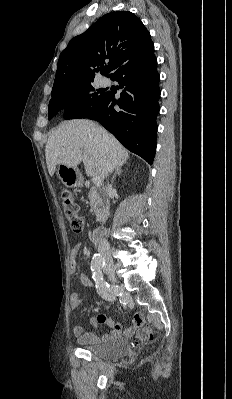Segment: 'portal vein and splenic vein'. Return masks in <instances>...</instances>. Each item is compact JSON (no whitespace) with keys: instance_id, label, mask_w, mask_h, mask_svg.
Listing matches in <instances>:
<instances>
[{"instance_id":"1","label":"portal vein and splenic vein","mask_w":232,"mask_h":399,"mask_svg":"<svg viewBox=\"0 0 232 399\" xmlns=\"http://www.w3.org/2000/svg\"><path fill=\"white\" fill-rule=\"evenodd\" d=\"M92 180H93V184H95L96 188H100V186L102 184L101 176H94V178H92Z\"/></svg>"}]
</instances>
